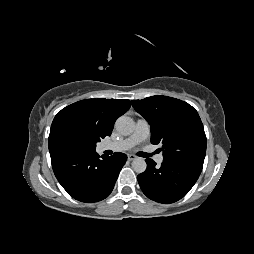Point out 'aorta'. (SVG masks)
Wrapping results in <instances>:
<instances>
[{
    "label": "aorta",
    "instance_id": "762f6f07",
    "mask_svg": "<svg viewBox=\"0 0 254 254\" xmlns=\"http://www.w3.org/2000/svg\"><path fill=\"white\" fill-rule=\"evenodd\" d=\"M134 125L133 119L125 115L119 117L115 123L116 130L122 135H130L134 130ZM132 168L138 174L143 173L147 168L145 159L135 158L132 162Z\"/></svg>",
    "mask_w": 254,
    "mask_h": 254
}]
</instances>
